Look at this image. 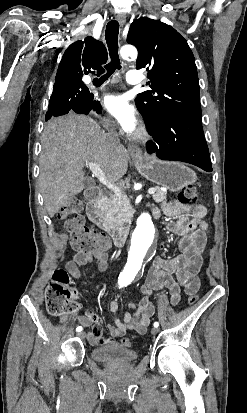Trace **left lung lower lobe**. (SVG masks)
<instances>
[{"mask_svg": "<svg viewBox=\"0 0 247 413\" xmlns=\"http://www.w3.org/2000/svg\"><path fill=\"white\" fill-rule=\"evenodd\" d=\"M147 128L155 141L147 143L149 154L155 153L162 160L191 163L207 172L213 170L201 119L172 114Z\"/></svg>", "mask_w": 247, "mask_h": 413, "instance_id": "0a47b994", "label": "left lung lower lobe"}]
</instances>
